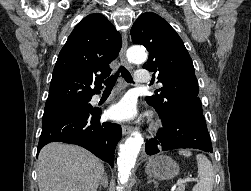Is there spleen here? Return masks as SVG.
Segmentation results:
<instances>
[{
    "label": "spleen",
    "instance_id": "spleen-1",
    "mask_svg": "<svg viewBox=\"0 0 251 191\" xmlns=\"http://www.w3.org/2000/svg\"><path fill=\"white\" fill-rule=\"evenodd\" d=\"M181 155H192V151H188V149H181L179 151ZM197 169L199 173V181L194 185L192 191H212L213 183H214V169L213 165L203 153H197Z\"/></svg>",
    "mask_w": 251,
    "mask_h": 191
}]
</instances>
